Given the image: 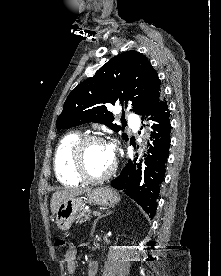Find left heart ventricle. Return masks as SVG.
<instances>
[{
  "mask_svg": "<svg viewBox=\"0 0 221 276\" xmlns=\"http://www.w3.org/2000/svg\"><path fill=\"white\" fill-rule=\"evenodd\" d=\"M84 160L87 171L93 176H99L110 168L114 156L107 144L91 142L85 148Z\"/></svg>",
  "mask_w": 221,
  "mask_h": 276,
  "instance_id": "b2bd125f",
  "label": "left heart ventricle"
}]
</instances>
